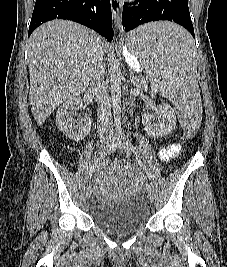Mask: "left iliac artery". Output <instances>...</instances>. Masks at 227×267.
<instances>
[{
    "mask_svg": "<svg viewBox=\"0 0 227 267\" xmlns=\"http://www.w3.org/2000/svg\"><path fill=\"white\" fill-rule=\"evenodd\" d=\"M121 137L123 138L124 142L126 143L127 147L130 149V150H135V147L133 146V144L131 143V141H129V139L125 136L124 132L121 130L119 131ZM137 161L138 163L140 164L141 167H143V163L142 161L140 160V158H137Z\"/></svg>",
    "mask_w": 227,
    "mask_h": 267,
    "instance_id": "1",
    "label": "left iliac artery"
}]
</instances>
